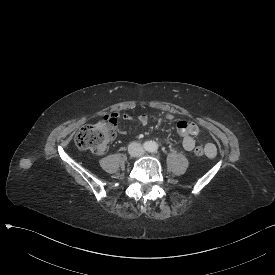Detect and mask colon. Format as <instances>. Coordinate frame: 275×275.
<instances>
[{"label":"colon","instance_id":"1","mask_svg":"<svg viewBox=\"0 0 275 275\" xmlns=\"http://www.w3.org/2000/svg\"><path fill=\"white\" fill-rule=\"evenodd\" d=\"M116 132L117 123L113 120L86 124L77 132L75 143L80 149L103 153L115 138ZM195 153L197 155L205 154L204 147H196Z\"/></svg>","mask_w":275,"mask_h":275}]
</instances>
